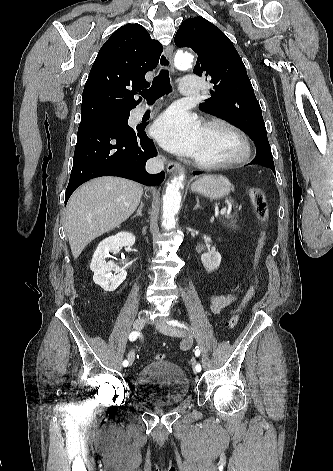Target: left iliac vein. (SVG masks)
<instances>
[{"label": "left iliac vein", "instance_id": "4c4485c4", "mask_svg": "<svg viewBox=\"0 0 333 471\" xmlns=\"http://www.w3.org/2000/svg\"><path fill=\"white\" fill-rule=\"evenodd\" d=\"M156 328L158 331H160L163 334L169 335V336H174V337H184L185 332L179 328H176L174 326H171L169 324H166L164 322H157L156 323ZM195 372H197L194 369Z\"/></svg>", "mask_w": 333, "mask_h": 471}]
</instances>
